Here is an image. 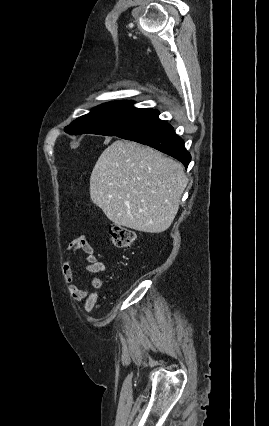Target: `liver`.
<instances>
[{"label":"liver","instance_id":"6515ba94","mask_svg":"<svg viewBox=\"0 0 269 426\" xmlns=\"http://www.w3.org/2000/svg\"><path fill=\"white\" fill-rule=\"evenodd\" d=\"M187 183L181 163L139 143L116 140L93 168L90 198L116 225L161 233L172 224Z\"/></svg>","mask_w":269,"mask_h":426}]
</instances>
